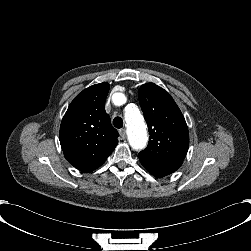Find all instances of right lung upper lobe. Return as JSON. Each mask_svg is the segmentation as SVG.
I'll use <instances>...</instances> for the list:
<instances>
[{"instance_id":"obj_1","label":"right lung upper lobe","mask_w":251,"mask_h":251,"mask_svg":"<svg viewBox=\"0 0 251 251\" xmlns=\"http://www.w3.org/2000/svg\"><path fill=\"white\" fill-rule=\"evenodd\" d=\"M108 83L92 85L69 105L59 139L65 158L84 173L100 167L115 149L119 136L105 111Z\"/></svg>"}]
</instances>
